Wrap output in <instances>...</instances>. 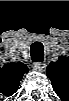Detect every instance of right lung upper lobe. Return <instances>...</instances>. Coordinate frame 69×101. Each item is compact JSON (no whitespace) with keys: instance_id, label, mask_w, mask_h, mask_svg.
Instances as JSON below:
<instances>
[{"instance_id":"cb5924a9","label":"right lung upper lobe","mask_w":69,"mask_h":101,"mask_svg":"<svg viewBox=\"0 0 69 101\" xmlns=\"http://www.w3.org/2000/svg\"><path fill=\"white\" fill-rule=\"evenodd\" d=\"M28 67L23 63H8L0 70V87L6 96L13 95Z\"/></svg>"}]
</instances>
